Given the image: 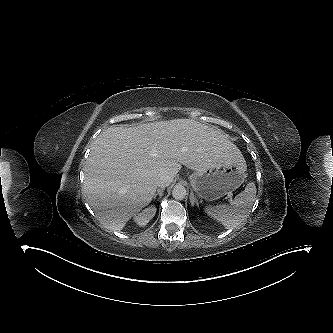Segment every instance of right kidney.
Segmentation results:
<instances>
[{"mask_svg": "<svg viewBox=\"0 0 333 333\" xmlns=\"http://www.w3.org/2000/svg\"><path fill=\"white\" fill-rule=\"evenodd\" d=\"M156 207L149 206L145 208L141 213H138L134 216V222L139 226H145L147 223L155 216Z\"/></svg>", "mask_w": 333, "mask_h": 333, "instance_id": "ca27d5eb", "label": "right kidney"}]
</instances>
